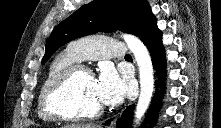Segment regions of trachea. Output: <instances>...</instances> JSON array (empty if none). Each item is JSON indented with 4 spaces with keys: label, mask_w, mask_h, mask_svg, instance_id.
<instances>
[{
    "label": "trachea",
    "mask_w": 221,
    "mask_h": 128,
    "mask_svg": "<svg viewBox=\"0 0 221 128\" xmlns=\"http://www.w3.org/2000/svg\"><path fill=\"white\" fill-rule=\"evenodd\" d=\"M127 58H131V56H130V55H127Z\"/></svg>",
    "instance_id": "trachea-1"
}]
</instances>
